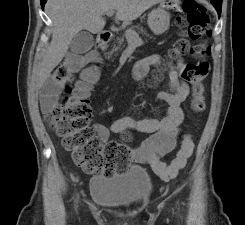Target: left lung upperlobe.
Segmentation results:
<instances>
[{
    "label": "left lung upper lobe",
    "mask_w": 245,
    "mask_h": 225,
    "mask_svg": "<svg viewBox=\"0 0 245 225\" xmlns=\"http://www.w3.org/2000/svg\"><path fill=\"white\" fill-rule=\"evenodd\" d=\"M211 3L214 5L216 8L219 16L221 14V7H222V0H211Z\"/></svg>",
    "instance_id": "left-lung-upper-lobe-1"
}]
</instances>
